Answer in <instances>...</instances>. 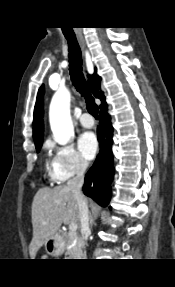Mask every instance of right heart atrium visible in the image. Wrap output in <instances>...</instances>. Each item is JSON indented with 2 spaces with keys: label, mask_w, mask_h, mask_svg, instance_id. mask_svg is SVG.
<instances>
[{
  "label": "right heart atrium",
  "mask_w": 175,
  "mask_h": 287,
  "mask_svg": "<svg viewBox=\"0 0 175 287\" xmlns=\"http://www.w3.org/2000/svg\"><path fill=\"white\" fill-rule=\"evenodd\" d=\"M48 147L53 151L50 170V177L53 182H64L76 174L84 172L88 167V162L72 145L56 146L50 142Z\"/></svg>",
  "instance_id": "obj_1"
}]
</instances>
